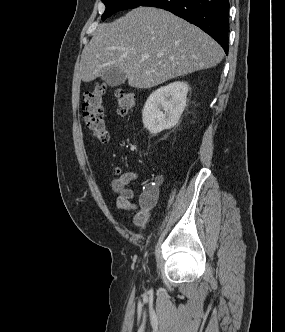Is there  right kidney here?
Wrapping results in <instances>:
<instances>
[{"label": "right kidney", "mask_w": 285, "mask_h": 332, "mask_svg": "<svg viewBox=\"0 0 285 332\" xmlns=\"http://www.w3.org/2000/svg\"><path fill=\"white\" fill-rule=\"evenodd\" d=\"M188 90L186 82L177 81L154 91L143 108L144 127L152 134L174 127L186 107Z\"/></svg>", "instance_id": "1"}]
</instances>
